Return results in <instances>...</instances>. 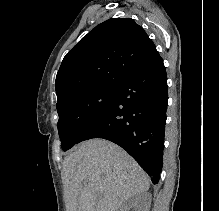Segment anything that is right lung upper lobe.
Here are the masks:
<instances>
[{
    "label": "right lung upper lobe",
    "mask_w": 219,
    "mask_h": 211,
    "mask_svg": "<svg viewBox=\"0 0 219 211\" xmlns=\"http://www.w3.org/2000/svg\"><path fill=\"white\" fill-rule=\"evenodd\" d=\"M159 56L152 40L133 19H109L64 57L56 76L57 104L98 86H116Z\"/></svg>",
    "instance_id": "cb5924a9"
}]
</instances>
